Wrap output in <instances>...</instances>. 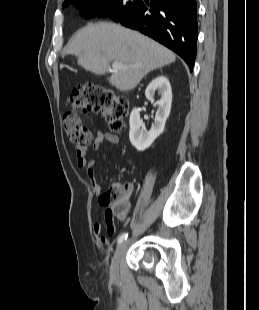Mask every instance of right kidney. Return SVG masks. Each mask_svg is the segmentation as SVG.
Instances as JSON below:
<instances>
[{
	"label": "right kidney",
	"mask_w": 259,
	"mask_h": 310,
	"mask_svg": "<svg viewBox=\"0 0 259 310\" xmlns=\"http://www.w3.org/2000/svg\"><path fill=\"white\" fill-rule=\"evenodd\" d=\"M156 92L160 95V99L155 121L150 131L146 130L140 119V109L134 108L130 114L129 138L131 144L138 151H144L150 147L155 139L163 133L171 110L172 90L169 80L163 75L158 76L148 85L145 91L146 98L153 102Z\"/></svg>",
	"instance_id": "right-kidney-1"
}]
</instances>
